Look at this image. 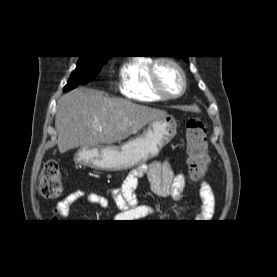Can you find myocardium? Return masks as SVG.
I'll use <instances>...</instances> for the list:
<instances>
[{"label": "myocardium", "instance_id": "f54148a6", "mask_svg": "<svg viewBox=\"0 0 277 277\" xmlns=\"http://www.w3.org/2000/svg\"><path fill=\"white\" fill-rule=\"evenodd\" d=\"M160 63H167V64L173 66L176 69V71L178 72V74L182 80V87L178 93L168 94L162 88V86L160 84L158 72H157V68ZM150 78H151V84H152L153 90L164 100H171V99H176V98L180 97L181 95H183L185 93V91L187 89V85H188L186 74H185L183 67L181 66V64L179 62H177L172 57H159V58L155 59L154 61H152L151 65H150Z\"/></svg>", "mask_w": 277, "mask_h": 277}]
</instances>
